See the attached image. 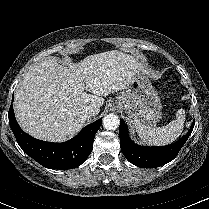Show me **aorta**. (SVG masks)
I'll list each match as a JSON object with an SVG mask.
<instances>
[{
	"instance_id": "aorta-1",
	"label": "aorta",
	"mask_w": 209,
	"mask_h": 209,
	"mask_svg": "<svg viewBox=\"0 0 209 209\" xmlns=\"http://www.w3.org/2000/svg\"><path fill=\"white\" fill-rule=\"evenodd\" d=\"M102 124L106 130H115L119 127L120 120L117 115L109 114L103 118Z\"/></svg>"
}]
</instances>
